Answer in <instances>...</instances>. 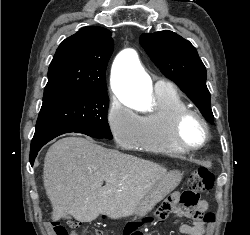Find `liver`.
I'll list each match as a JSON object with an SVG mask.
<instances>
[{
  "label": "liver",
  "instance_id": "obj_1",
  "mask_svg": "<svg viewBox=\"0 0 250 235\" xmlns=\"http://www.w3.org/2000/svg\"><path fill=\"white\" fill-rule=\"evenodd\" d=\"M166 172L157 163L72 136L48 149L43 182L53 220L71 215L91 222L99 214L112 219L132 215Z\"/></svg>",
  "mask_w": 250,
  "mask_h": 235
}]
</instances>
